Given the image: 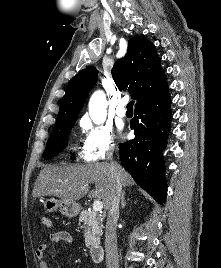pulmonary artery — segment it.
Returning <instances> with one entry per match:
<instances>
[{
  "label": "pulmonary artery",
  "instance_id": "obj_1",
  "mask_svg": "<svg viewBox=\"0 0 221 268\" xmlns=\"http://www.w3.org/2000/svg\"><path fill=\"white\" fill-rule=\"evenodd\" d=\"M127 104V100L126 99H122L117 108H116V114L119 117H125L126 116V108L125 105Z\"/></svg>",
  "mask_w": 221,
  "mask_h": 268
}]
</instances>
